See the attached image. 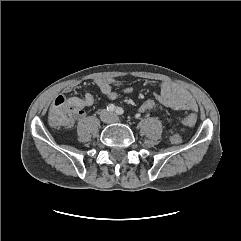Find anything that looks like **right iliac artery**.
Returning a JSON list of instances; mask_svg holds the SVG:
<instances>
[{
	"instance_id": "obj_1",
	"label": "right iliac artery",
	"mask_w": 241,
	"mask_h": 241,
	"mask_svg": "<svg viewBox=\"0 0 241 241\" xmlns=\"http://www.w3.org/2000/svg\"><path fill=\"white\" fill-rule=\"evenodd\" d=\"M107 110L110 111V112H113L115 110V105L114 104H109L107 106Z\"/></svg>"
}]
</instances>
